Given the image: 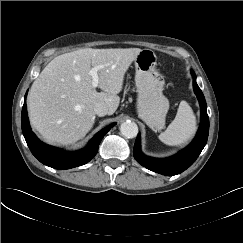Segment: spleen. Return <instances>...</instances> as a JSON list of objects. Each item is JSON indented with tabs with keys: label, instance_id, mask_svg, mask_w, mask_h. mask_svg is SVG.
Wrapping results in <instances>:
<instances>
[{
	"label": "spleen",
	"instance_id": "1",
	"mask_svg": "<svg viewBox=\"0 0 243 243\" xmlns=\"http://www.w3.org/2000/svg\"><path fill=\"white\" fill-rule=\"evenodd\" d=\"M196 131V119L186 101H181L174 120L167 129L159 135V139L166 145L178 146L186 143Z\"/></svg>",
	"mask_w": 243,
	"mask_h": 243
}]
</instances>
